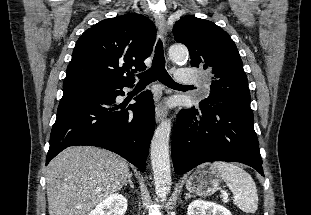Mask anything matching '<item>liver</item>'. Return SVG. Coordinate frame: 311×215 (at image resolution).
<instances>
[{
	"label": "liver",
	"instance_id": "liver-1",
	"mask_svg": "<svg viewBox=\"0 0 311 215\" xmlns=\"http://www.w3.org/2000/svg\"><path fill=\"white\" fill-rule=\"evenodd\" d=\"M129 174L127 162L112 152L91 146L66 148L47 167L49 215H89Z\"/></svg>",
	"mask_w": 311,
	"mask_h": 215
}]
</instances>
